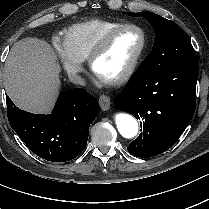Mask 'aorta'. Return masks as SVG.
I'll use <instances>...</instances> for the list:
<instances>
[{"label":"aorta","instance_id":"1","mask_svg":"<svg viewBox=\"0 0 209 209\" xmlns=\"http://www.w3.org/2000/svg\"><path fill=\"white\" fill-rule=\"evenodd\" d=\"M115 122L119 133L127 139L135 137L138 133L137 120L126 113H117L115 115Z\"/></svg>","mask_w":209,"mask_h":209}]
</instances>
